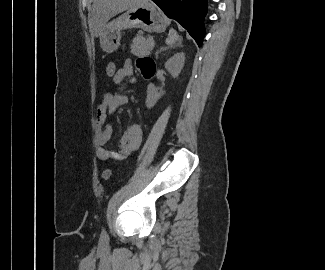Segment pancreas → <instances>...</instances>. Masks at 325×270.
Here are the masks:
<instances>
[{
	"label": "pancreas",
	"mask_w": 325,
	"mask_h": 270,
	"mask_svg": "<svg viewBox=\"0 0 325 270\" xmlns=\"http://www.w3.org/2000/svg\"><path fill=\"white\" fill-rule=\"evenodd\" d=\"M151 38H144L141 35H137L133 39V44L131 45V53L136 56H144L149 54L153 47L150 46Z\"/></svg>",
	"instance_id": "cf45deb5"
}]
</instances>
